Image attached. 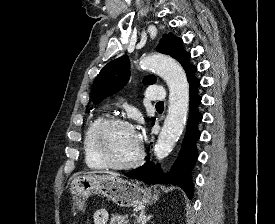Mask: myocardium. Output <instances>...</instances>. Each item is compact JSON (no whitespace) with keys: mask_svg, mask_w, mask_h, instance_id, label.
<instances>
[{"mask_svg":"<svg viewBox=\"0 0 275 224\" xmlns=\"http://www.w3.org/2000/svg\"><path fill=\"white\" fill-rule=\"evenodd\" d=\"M117 125H123L134 129L129 121L121 117L113 116V117L104 119L101 123L98 124V126L96 127L93 133L92 143H93L94 151L97 154V156L100 158V160L109 168L116 169V170H127V169L137 167L144 158V148L139 137H138V140H139L138 153L136 157L129 162H126V163L115 162L108 152V148L106 145V134L112 127Z\"/></svg>","mask_w":275,"mask_h":224,"instance_id":"obj_1","label":"myocardium"}]
</instances>
